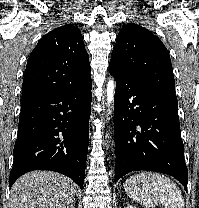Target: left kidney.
Wrapping results in <instances>:
<instances>
[{
	"instance_id": "1",
	"label": "left kidney",
	"mask_w": 199,
	"mask_h": 208,
	"mask_svg": "<svg viewBox=\"0 0 199 208\" xmlns=\"http://www.w3.org/2000/svg\"><path fill=\"white\" fill-rule=\"evenodd\" d=\"M126 208H137V207H135L133 205H128Z\"/></svg>"
}]
</instances>
